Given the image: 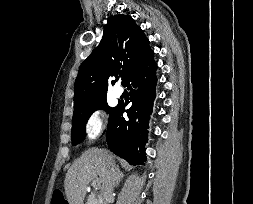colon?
<instances>
[{
    "instance_id": "obj_1",
    "label": "colon",
    "mask_w": 253,
    "mask_h": 204,
    "mask_svg": "<svg viewBox=\"0 0 253 204\" xmlns=\"http://www.w3.org/2000/svg\"><path fill=\"white\" fill-rule=\"evenodd\" d=\"M51 204H65L64 195L61 191H54L51 198Z\"/></svg>"
}]
</instances>
